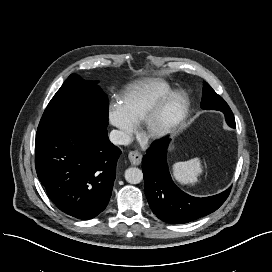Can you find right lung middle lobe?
Here are the masks:
<instances>
[{
	"mask_svg": "<svg viewBox=\"0 0 272 272\" xmlns=\"http://www.w3.org/2000/svg\"><path fill=\"white\" fill-rule=\"evenodd\" d=\"M97 83L71 74L49 102L37 131L62 129L78 122L106 128L108 98Z\"/></svg>",
	"mask_w": 272,
	"mask_h": 272,
	"instance_id": "1",
	"label": "right lung middle lobe"
}]
</instances>
